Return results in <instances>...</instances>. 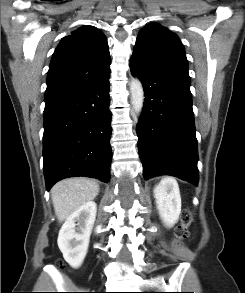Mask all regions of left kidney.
<instances>
[{"label": "left kidney", "instance_id": "obj_1", "mask_svg": "<svg viewBox=\"0 0 245 293\" xmlns=\"http://www.w3.org/2000/svg\"><path fill=\"white\" fill-rule=\"evenodd\" d=\"M159 215L167 227L178 222L181 213V197L178 183L173 178H165L154 188Z\"/></svg>", "mask_w": 245, "mask_h": 293}]
</instances>
